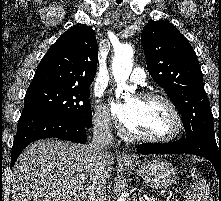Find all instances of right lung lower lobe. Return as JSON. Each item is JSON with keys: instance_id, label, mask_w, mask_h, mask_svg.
<instances>
[{"instance_id": "1", "label": "right lung lower lobe", "mask_w": 221, "mask_h": 201, "mask_svg": "<svg viewBox=\"0 0 221 201\" xmlns=\"http://www.w3.org/2000/svg\"><path fill=\"white\" fill-rule=\"evenodd\" d=\"M91 126L69 117L56 115L34 113L21 116L12 147L11 167L23 149L31 142L56 137L77 143H86V130Z\"/></svg>"}]
</instances>
